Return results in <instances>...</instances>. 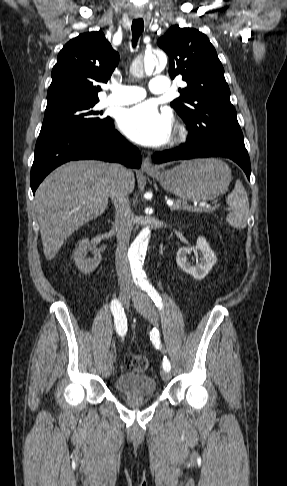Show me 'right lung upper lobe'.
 <instances>
[{
	"label": "right lung upper lobe",
	"instance_id": "1",
	"mask_svg": "<svg viewBox=\"0 0 287 486\" xmlns=\"http://www.w3.org/2000/svg\"><path fill=\"white\" fill-rule=\"evenodd\" d=\"M119 54L102 31L70 40L59 52L47 92V107L98 99L99 83H106L118 64Z\"/></svg>",
	"mask_w": 287,
	"mask_h": 486
}]
</instances>
